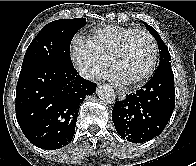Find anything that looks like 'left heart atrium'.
<instances>
[{"label":"left heart atrium","instance_id":"39dd6f15","mask_svg":"<svg viewBox=\"0 0 196 166\" xmlns=\"http://www.w3.org/2000/svg\"><path fill=\"white\" fill-rule=\"evenodd\" d=\"M109 77L111 80H113L114 82L118 83V84H125L126 81L121 78L115 71L111 72L109 74Z\"/></svg>","mask_w":196,"mask_h":166}]
</instances>
